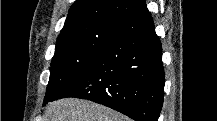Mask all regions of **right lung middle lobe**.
Here are the masks:
<instances>
[{"instance_id": "1", "label": "right lung middle lobe", "mask_w": 217, "mask_h": 121, "mask_svg": "<svg viewBox=\"0 0 217 121\" xmlns=\"http://www.w3.org/2000/svg\"><path fill=\"white\" fill-rule=\"evenodd\" d=\"M125 24L110 19L95 20L60 34L51 63L45 100L86 69Z\"/></svg>"}]
</instances>
